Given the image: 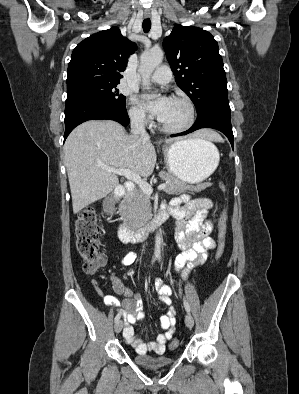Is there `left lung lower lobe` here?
<instances>
[{
    "label": "left lung lower lobe",
    "mask_w": 299,
    "mask_h": 394,
    "mask_svg": "<svg viewBox=\"0 0 299 394\" xmlns=\"http://www.w3.org/2000/svg\"><path fill=\"white\" fill-rule=\"evenodd\" d=\"M197 115L196 122L189 130L173 134L171 137L186 135L201 128H213L224 133L229 139L232 148H234L230 120L231 109L228 98H219L208 102L203 108L197 111Z\"/></svg>",
    "instance_id": "left-lung-lower-lobe-1"
}]
</instances>
